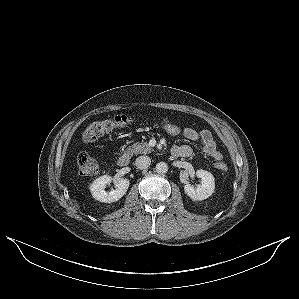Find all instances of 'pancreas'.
I'll return each mask as SVG.
<instances>
[{"label":"pancreas","instance_id":"obj_1","mask_svg":"<svg viewBox=\"0 0 299 299\" xmlns=\"http://www.w3.org/2000/svg\"><path fill=\"white\" fill-rule=\"evenodd\" d=\"M153 149L149 146V144L147 142H137L134 143L132 146H130L126 153L130 154V155H138V154H147L152 152Z\"/></svg>","mask_w":299,"mask_h":299}]
</instances>
